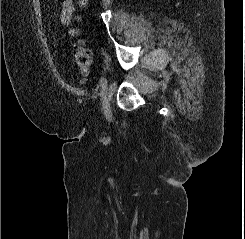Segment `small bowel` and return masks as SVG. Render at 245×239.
Here are the masks:
<instances>
[{
  "label": "small bowel",
  "mask_w": 245,
  "mask_h": 239,
  "mask_svg": "<svg viewBox=\"0 0 245 239\" xmlns=\"http://www.w3.org/2000/svg\"><path fill=\"white\" fill-rule=\"evenodd\" d=\"M74 12L73 0H65L60 8V20L63 24L68 25Z\"/></svg>",
  "instance_id": "small-bowel-1"
}]
</instances>
